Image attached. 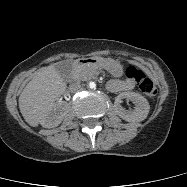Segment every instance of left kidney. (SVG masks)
I'll list each match as a JSON object with an SVG mask.
<instances>
[{"label":"left kidney","instance_id":"1","mask_svg":"<svg viewBox=\"0 0 187 187\" xmlns=\"http://www.w3.org/2000/svg\"><path fill=\"white\" fill-rule=\"evenodd\" d=\"M129 99L135 105V109L132 112L126 111L121 106L122 99ZM116 113L125 121L128 122H139L146 119L149 113L148 101L138 93L135 92H123L119 94L114 103Z\"/></svg>","mask_w":187,"mask_h":187}]
</instances>
